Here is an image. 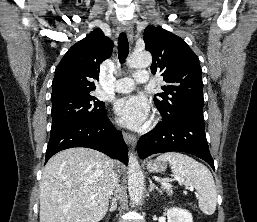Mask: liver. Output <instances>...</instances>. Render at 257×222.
Masks as SVG:
<instances>
[{"label":"liver","instance_id":"6515ba94","mask_svg":"<svg viewBox=\"0 0 257 222\" xmlns=\"http://www.w3.org/2000/svg\"><path fill=\"white\" fill-rule=\"evenodd\" d=\"M112 168L111 159L93 149L70 148L54 155L40 183V222L103 219L112 190Z\"/></svg>","mask_w":257,"mask_h":222}]
</instances>
